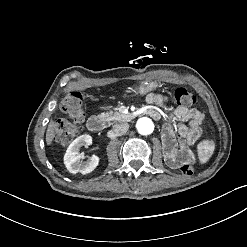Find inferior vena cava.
Instances as JSON below:
<instances>
[{"label":"inferior vena cava","instance_id":"1","mask_svg":"<svg viewBox=\"0 0 247 247\" xmlns=\"http://www.w3.org/2000/svg\"><path fill=\"white\" fill-rule=\"evenodd\" d=\"M128 129H129V124L126 123V122L116 123L113 126V131L117 135H123V134H125L128 131Z\"/></svg>","mask_w":247,"mask_h":247}]
</instances>
